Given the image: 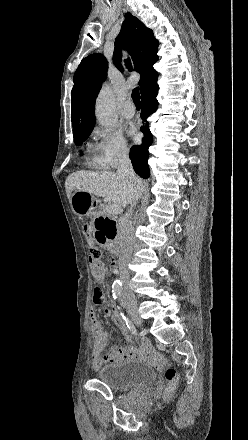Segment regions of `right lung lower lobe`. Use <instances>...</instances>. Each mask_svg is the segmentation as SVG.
I'll list each match as a JSON object with an SVG mask.
<instances>
[{"label": "right lung lower lobe", "instance_id": "right-lung-lower-lobe-1", "mask_svg": "<svg viewBox=\"0 0 248 440\" xmlns=\"http://www.w3.org/2000/svg\"><path fill=\"white\" fill-rule=\"evenodd\" d=\"M157 93L158 86H154L141 96V118L145 122V124L141 126V132L144 134V138L141 145H135L130 150V159L133 168L135 172L143 178H149L150 176V169L147 163L149 158L148 148L153 138L146 119L157 109Z\"/></svg>", "mask_w": 248, "mask_h": 440}]
</instances>
